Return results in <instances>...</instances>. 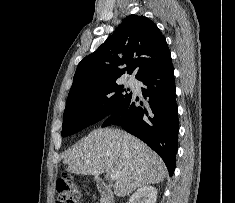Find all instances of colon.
Instances as JSON below:
<instances>
[{"instance_id":"obj_1","label":"colon","mask_w":235,"mask_h":203,"mask_svg":"<svg viewBox=\"0 0 235 203\" xmlns=\"http://www.w3.org/2000/svg\"><path fill=\"white\" fill-rule=\"evenodd\" d=\"M56 187L58 192L56 203H79V194L71 178H60Z\"/></svg>"}]
</instances>
